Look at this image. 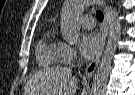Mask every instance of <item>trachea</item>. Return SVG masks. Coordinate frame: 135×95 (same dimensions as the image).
<instances>
[{
    "label": "trachea",
    "mask_w": 135,
    "mask_h": 95,
    "mask_svg": "<svg viewBox=\"0 0 135 95\" xmlns=\"http://www.w3.org/2000/svg\"><path fill=\"white\" fill-rule=\"evenodd\" d=\"M96 17L100 22L103 21V13L100 10L96 12Z\"/></svg>",
    "instance_id": "3493384b"
}]
</instances>
